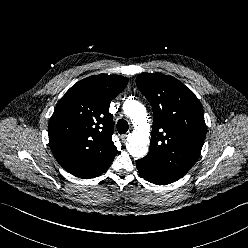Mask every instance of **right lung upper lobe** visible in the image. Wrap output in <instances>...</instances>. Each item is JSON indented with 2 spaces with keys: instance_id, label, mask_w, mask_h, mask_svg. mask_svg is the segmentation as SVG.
Here are the masks:
<instances>
[{
  "instance_id": "1",
  "label": "right lung upper lobe",
  "mask_w": 248,
  "mask_h": 248,
  "mask_svg": "<svg viewBox=\"0 0 248 248\" xmlns=\"http://www.w3.org/2000/svg\"><path fill=\"white\" fill-rule=\"evenodd\" d=\"M128 78L100 74L73 85L50 118L49 144L57 162L79 178H94L111 165L118 150L110 102L127 86Z\"/></svg>"
}]
</instances>
